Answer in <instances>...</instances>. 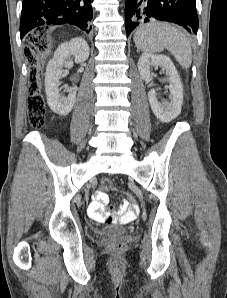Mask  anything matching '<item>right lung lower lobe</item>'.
Masks as SVG:
<instances>
[{
	"mask_svg": "<svg viewBox=\"0 0 227 298\" xmlns=\"http://www.w3.org/2000/svg\"><path fill=\"white\" fill-rule=\"evenodd\" d=\"M93 0H23L20 36L33 28L47 25L71 24L87 33L91 26ZM48 27V26H47Z\"/></svg>",
	"mask_w": 227,
	"mask_h": 298,
	"instance_id": "1",
	"label": "right lung lower lobe"
}]
</instances>
